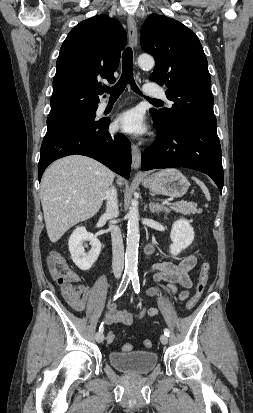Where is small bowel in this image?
<instances>
[{"mask_svg": "<svg viewBox=\"0 0 253 413\" xmlns=\"http://www.w3.org/2000/svg\"><path fill=\"white\" fill-rule=\"evenodd\" d=\"M151 247H148L147 253L150 254ZM197 263V258L193 253L184 256L178 263L158 262L153 264L151 271L157 282H165L166 287L173 294H178L179 299L185 300L189 296V288L192 286V280L189 272ZM178 286L184 289L178 292ZM159 292L158 287H152L148 290L150 296H155ZM61 293L67 303L78 312L85 310L90 298V288L80 282L79 277L75 274L72 282L61 285ZM145 314L154 316L157 314L155 308L144 309L139 313H130L123 309H118L111 304L105 313V321L107 324L121 323L130 325L134 320L142 318Z\"/></svg>", "mask_w": 253, "mask_h": 413, "instance_id": "1", "label": "small bowel"}]
</instances>
